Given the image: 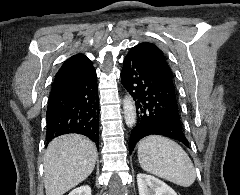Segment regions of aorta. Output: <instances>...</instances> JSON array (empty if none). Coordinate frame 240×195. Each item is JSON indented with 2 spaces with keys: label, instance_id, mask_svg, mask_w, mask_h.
I'll list each match as a JSON object with an SVG mask.
<instances>
[{
  "label": "aorta",
  "instance_id": "aorta-1",
  "mask_svg": "<svg viewBox=\"0 0 240 195\" xmlns=\"http://www.w3.org/2000/svg\"><path fill=\"white\" fill-rule=\"evenodd\" d=\"M124 119L128 127H133L136 123V107L131 96H125L123 99Z\"/></svg>",
  "mask_w": 240,
  "mask_h": 195
}]
</instances>
